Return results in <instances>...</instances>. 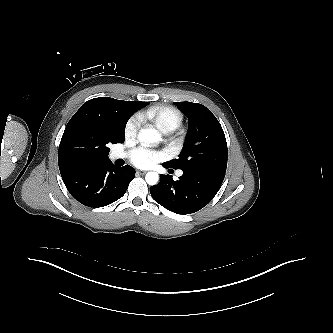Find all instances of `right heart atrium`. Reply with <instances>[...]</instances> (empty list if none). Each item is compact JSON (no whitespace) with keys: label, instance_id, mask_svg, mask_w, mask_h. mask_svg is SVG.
I'll return each instance as SVG.
<instances>
[{"label":"right heart atrium","instance_id":"1","mask_svg":"<svg viewBox=\"0 0 333 333\" xmlns=\"http://www.w3.org/2000/svg\"><path fill=\"white\" fill-rule=\"evenodd\" d=\"M140 125L141 118L139 115H133L127 120L124 128V134L127 140H133L136 138Z\"/></svg>","mask_w":333,"mask_h":333}]
</instances>
